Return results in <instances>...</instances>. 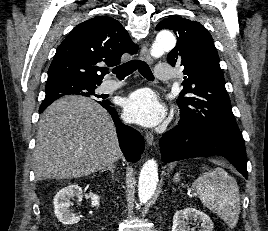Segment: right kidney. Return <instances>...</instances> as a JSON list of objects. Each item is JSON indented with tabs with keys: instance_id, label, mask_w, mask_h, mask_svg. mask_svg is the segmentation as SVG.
I'll list each match as a JSON object with an SVG mask.
<instances>
[{
	"instance_id": "1",
	"label": "right kidney",
	"mask_w": 268,
	"mask_h": 231,
	"mask_svg": "<svg viewBox=\"0 0 268 231\" xmlns=\"http://www.w3.org/2000/svg\"><path fill=\"white\" fill-rule=\"evenodd\" d=\"M82 194V188L78 184H71L62 188L54 197V212L58 220L66 225L77 224L80 217L70 212L71 199ZM87 198L91 199L92 207H99L100 197L97 194L89 193Z\"/></svg>"
}]
</instances>
